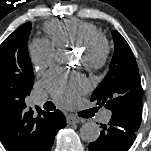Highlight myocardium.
I'll return each instance as SVG.
<instances>
[{"instance_id":"f54148a6","label":"myocardium","mask_w":151,"mask_h":151,"mask_svg":"<svg viewBox=\"0 0 151 151\" xmlns=\"http://www.w3.org/2000/svg\"><path fill=\"white\" fill-rule=\"evenodd\" d=\"M82 64L90 71L102 69L108 62L110 56V46L107 39L97 34L81 45Z\"/></svg>"}]
</instances>
